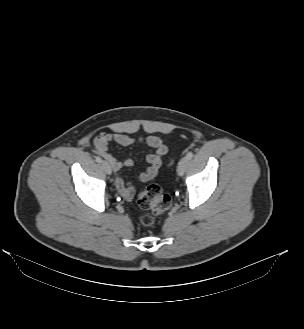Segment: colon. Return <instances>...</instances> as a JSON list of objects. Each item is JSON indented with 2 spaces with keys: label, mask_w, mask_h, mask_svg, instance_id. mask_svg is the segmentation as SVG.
Returning <instances> with one entry per match:
<instances>
[{
  "label": "colon",
  "mask_w": 304,
  "mask_h": 329,
  "mask_svg": "<svg viewBox=\"0 0 304 329\" xmlns=\"http://www.w3.org/2000/svg\"><path fill=\"white\" fill-rule=\"evenodd\" d=\"M170 195L163 193L161 189L152 185L141 191L138 196V204L143 210H149L151 213H145L141 216V223L150 226L155 221V215L164 213L171 206Z\"/></svg>",
  "instance_id": "colon-1"
}]
</instances>
